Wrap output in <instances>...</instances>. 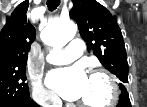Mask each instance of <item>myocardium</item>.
Segmentation results:
<instances>
[{"mask_svg":"<svg viewBox=\"0 0 147 107\" xmlns=\"http://www.w3.org/2000/svg\"><path fill=\"white\" fill-rule=\"evenodd\" d=\"M89 77L90 78L100 77L106 81L110 91L109 98L106 100V102L101 104H90L87 102L79 101V105L81 107H111L113 106L117 102L119 97V88L115 78L111 74H109L108 72L102 69L92 70Z\"/></svg>","mask_w":147,"mask_h":107,"instance_id":"f54148a6","label":"myocardium"}]
</instances>
